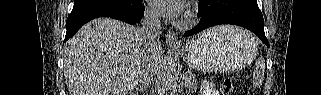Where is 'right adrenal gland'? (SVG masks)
<instances>
[{"label": "right adrenal gland", "instance_id": "1", "mask_svg": "<svg viewBox=\"0 0 321 95\" xmlns=\"http://www.w3.org/2000/svg\"><path fill=\"white\" fill-rule=\"evenodd\" d=\"M145 89H146V87H143V86L141 87V86H140L139 88H136V89H135V93L137 94V92H139V91H144Z\"/></svg>", "mask_w": 321, "mask_h": 95}]
</instances>
